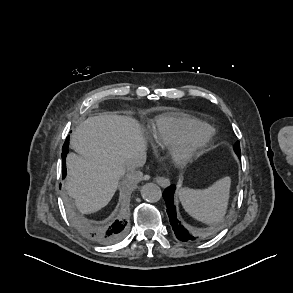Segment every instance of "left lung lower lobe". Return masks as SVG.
Wrapping results in <instances>:
<instances>
[{
	"label": "left lung lower lobe",
	"mask_w": 293,
	"mask_h": 293,
	"mask_svg": "<svg viewBox=\"0 0 293 293\" xmlns=\"http://www.w3.org/2000/svg\"><path fill=\"white\" fill-rule=\"evenodd\" d=\"M239 158H241L240 154H237ZM175 186L172 185L168 187L164 193L163 198L166 202L167 213L169 216L170 224L174 230L176 237L181 241L193 240L195 239L193 236L189 234V232L184 229V227L180 224L176 216V208L174 206L173 196L175 192Z\"/></svg>",
	"instance_id": "0a47b994"
}]
</instances>
